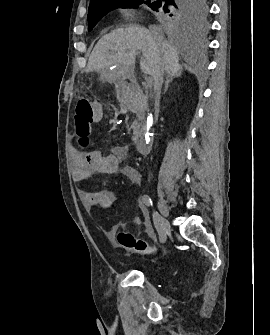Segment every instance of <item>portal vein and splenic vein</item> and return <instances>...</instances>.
<instances>
[{"mask_svg":"<svg viewBox=\"0 0 270 335\" xmlns=\"http://www.w3.org/2000/svg\"><path fill=\"white\" fill-rule=\"evenodd\" d=\"M154 86V80L149 78L146 83V89L152 88Z\"/></svg>","mask_w":270,"mask_h":335,"instance_id":"18ae733b","label":"portal vein and splenic vein"}]
</instances>
